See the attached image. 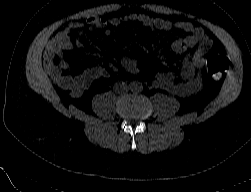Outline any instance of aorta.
Masks as SVG:
<instances>
[{
	"label": "aorta",
	"mask_w": 251,
	"mask_h": 192,
	"mask_svg": "<svg viewBox=\"0 0 251 192\" xmlns=\"http://www.w3.org/2000/svg\"><path fill=\"white\" fill-rule=\"evenodd\" d=\"M135 89H136V90H141V86L136 85V86H135Z\"/></svg>",
	"instance_id": "aorta-1"
}]
</instances>
